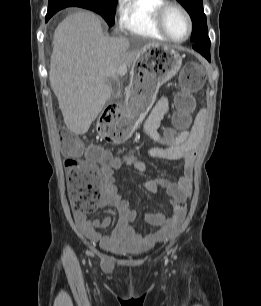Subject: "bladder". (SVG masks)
<instances>
[{"label":"bladder","instance_id":"bladder-1","mask_svg":"<svg viewBox=\"0 0 261 306\" xmlns=\"http://www.w3.org/2000/svg\"><path fill=\"white\" fill-rule=\"evenodd\" d=\"M122 254H128L129 256L136 257V254H135V253H128V252H125V253H122Z\"/></svg>","mask_w":261,"mask_h":306}]
</instances>
